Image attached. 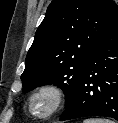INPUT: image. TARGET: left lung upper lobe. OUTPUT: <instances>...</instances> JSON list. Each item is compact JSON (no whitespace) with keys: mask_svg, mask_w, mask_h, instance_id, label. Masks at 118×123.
I'll return each instance as SVG.
<instances>
[{"mask_svg":"<svg viewBox=\"0 0 118 123\" xmlns=\"http://www.w3.org/2000/svg\"><path fill=\"white\" fill-rule=\"evenodd\" d=\"M116 20L113 0H53L26 56L23 92L54 84L68 106L92 50Z\"/></svg>","mask_w":118,"mask_h":123,"instance_id":"left-lung-upper-lobe-1","label":"left lung upper lobe"}]
</instances>
